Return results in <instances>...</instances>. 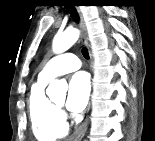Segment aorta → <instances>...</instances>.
<instances>
[{"label": "aorta", "instance_id": "1", "mask_svg": "<svg viewBox=\"0 0 155 141\" xmlns=\"http://www.w3.org/2000/svg\"><path fill=\"white\" fill-rule=\"evenodd\" d=\"M79 34L76 28H68L62 33H57L52 43L53 51L57 54L67 51L78 40ZM67 88L66 82L53 80L46 93L52 101L64 100Z\"/></svg>", "mask_w": 155, "mask_h": 141}]
</instances>
